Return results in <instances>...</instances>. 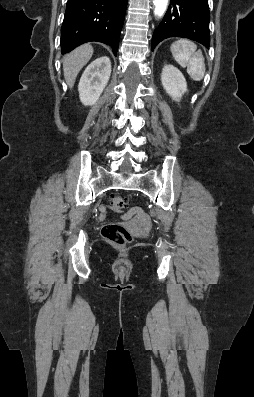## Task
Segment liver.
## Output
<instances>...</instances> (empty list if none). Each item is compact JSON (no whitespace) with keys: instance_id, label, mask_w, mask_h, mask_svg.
I'll return each mask as SVG.
<instances>
[{"instance_id":"6515ba94","label":"liver","mask_w":254,"mask_h":397,"mask_svg":"<svg viewBox=\"0 0 254 397\" xmlns=\"http://www.w3.org/2000/svg\"><path fill=\"white\" fill-rule=\"evenodd\" d=\"M93 52V47L90 44H85L63 58L64 78L70 89L74 86L76 77L80 70L91 59Z\"/></svg>"}]
</instances>
